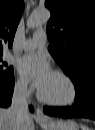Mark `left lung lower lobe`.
<instances>
[{"mask_svg":"<svg viewBox=\"0 0 95 130\" xmlns=\"http://www.w3.org/2000/svg\"><path fill=\"white\" fill-rule=\"evenodd\" d=\"M75 89V103L71 107H44V113L63 118L95 119V76H90Z\"/></svg>","mask_w":95,"mask_h":130,"instance_id":"1","label":"left lung lower lobe"}]
</instances>
